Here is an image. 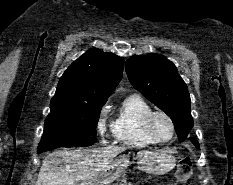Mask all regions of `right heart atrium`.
Masks as SVG:
<instances>
[{
    "label": "right heart atrium",
    "mask_w": 233,
    "mask_h": 185,
    "mask_svg": "<svg viewBox=\"0 0 233 185\" xmlns=\"http://www.w3.org/2000/svg\"><path fill=\"white\" fill-rule=\"evenodd\" d=\"M95 128L102 139L106 138L108 132L112 131V124L107 120L104 110L100 112L95 122Z\"/></svg>",
    "instance_id": "d8ad5b80"
}]
</instances>
